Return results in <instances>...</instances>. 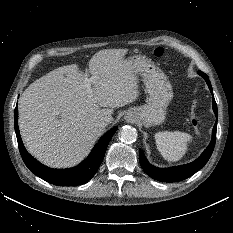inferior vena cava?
Here are the masks:
<instances>
[{"instance_id":"inferior-vena-cava-1","label":"inferior vena cava","mask_w":233,"mask_h":233,"mask_svg":"<svg viewBox=\"0 0 233 233\" xmlns=\"http://www.w3.org/2000/svg\"><path fill=\"white\" fill-rule=\"evenodd\" d=\"M112 122V117L110 116H103L101 117L98 122L97 125L101 128H105L108 124H110Z\"/></svg>"}]
</instances>
